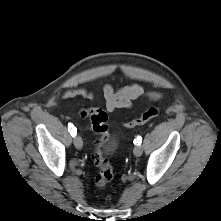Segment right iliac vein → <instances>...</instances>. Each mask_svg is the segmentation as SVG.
Instances as JSON below:
<instances>
[{"label":"right iliac vein","instance_id":"obj_1","mask_svg":"<svg viewBox=\"0 0 221 221\" xmlns=\"http://www.w3.org/2000/svg\"><path fill=\"white\" fill-rule=\"evenodd\" d=\"M74 145L77 149H82L83 147V141L80 136H75L73 139Z\"/></svg>","mask_w":221,"mask_h":221}]
</instances>
